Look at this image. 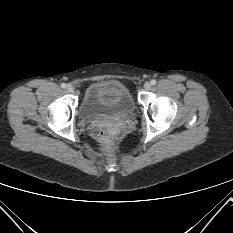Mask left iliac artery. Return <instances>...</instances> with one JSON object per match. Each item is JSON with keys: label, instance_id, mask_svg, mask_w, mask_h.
Returning a JSON list of instances; mask_svg holds the SVG:
<instances>
[{"label": "left iliac artery", "instance_id": "obj_1", "mask_svg": "<svg viewBox=\"0 0 233 233\" xmlns=\"http://www.w3.org/2000/svg\"><path fill=\"white\" fill-rule=\"evenodd\" d=\"M150 83H151V85H155L156 84V80L153 79V80L150 81Z\"/></svg>", "mask_w": 233, "mask_h": 233}]
</instances>
